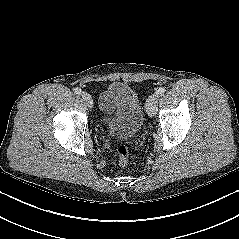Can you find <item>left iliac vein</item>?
I'll return each instance as SVG.
<instances>
[{
	"label": "left iliac vein",
	"instance_id": "obj_1",
	"mask_svg": "<svg viewBox=\"0 0 239 239\" xmlns=\"http://www.w3.org/2000/svg\"><path fill=\"white\" fill-rule=\"evenodd\" d=\"M159 95L153 94L151 95L147 102H146V111L149 116H154L157 112V102H158Z\"/></svg>",
	"mask_w": 239,
	"mask_h": 239
}]
</instances>
